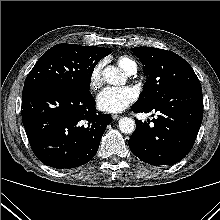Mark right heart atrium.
<instances>
[{
	"mask_svg": "<svg viewBox=\"0 0 220 220\" xmlns=\"http://www.w3.org/2000/svg\"><path fill=\"white\" fill-rule=\"evenodd\" d=\"M104 67V61H99L96 63L89 74V86L92 90H97L101 87L103 83L102 70Z\"/></svg>",
	"mask_w": 220,
	"mask_h": 220,
	"instance_id": "d8ad5b80",
	"label": "right heart atrium"
}]
</instances>
